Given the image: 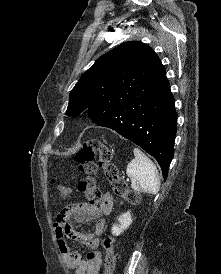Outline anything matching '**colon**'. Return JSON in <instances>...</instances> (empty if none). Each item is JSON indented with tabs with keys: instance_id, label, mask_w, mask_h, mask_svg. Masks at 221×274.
I'll list each match as a JSON object with an SVG mask.
<instances>
[{
	"instance_id": "5ec220e1",
	"label": "colon",
	"mask_w": 221,
	"mask_h": 274,
	"mask_svg": "<svg viewBox=\"0 0 221 274\" xmlns=\"http://www.w3.org/2000/svg\"><path fill=\"white\" fill-rule=\"evenodd\" d=\"M97 153L99 154L98 164L95 163V156ZM76 160L79 170L88 176L85 180L79 182L78 187L92 204L101 202L104 196L102 190L97 187L92 178L98 167L103 169L117 196L126 199L133 205H137L140 202L139 194L128 187L126 181L119 175L117 167L112 163V153L110 149L100 141L90 140L86 142L76 153ZM58 189L64 196L70 194V189L67 187L59 185ZM103 247L105 250V274H113L116 265L113 240L111 238H106L103 242Z\"/></svg>"
}]
</instances>
